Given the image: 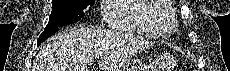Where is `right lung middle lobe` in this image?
Wrapping results in <instances>:
<instances>
[{
    "mask_svg": "<svg viewBox=\"0 0 230 71\" xmlns=\"http://www.w3.org/2000/svg\"><path fill=\"white\" fill-rule=\"evenodd\" d=\"M95 0H52V12L44 30L75 23L84 16L83 10Z\"/></svg>",
    "mask_w": 230,
    "mask_h": 71,
    "instance_id": "right-lung-middle-lobe-1",
    "label": "right lung middle lobe"
}]
</instances>
